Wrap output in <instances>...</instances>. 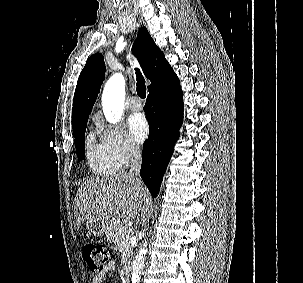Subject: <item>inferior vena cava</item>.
<instances>
[{
  "label": "inferior vena cava",
  "mask_w": 303,
  "mask_h": 283,
  "mask_svg": "<svg viewBox=\"0 0 303 283\" xmlns=\"http://www.w3.org/2000/svg\"><path fill=\"white\" fill-rule=\"evenodd\" d=\"M142 163V151L139 146L132 144L130 147V175L139 176Z\"/></svg>",
  "instance_id": "obj_1"
}]
</instances>
